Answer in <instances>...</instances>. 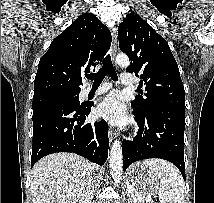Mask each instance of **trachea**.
<instances>
[{"instance_id": "trachea-1", "label": "trachea", "mask_w": 214, "mask_h": 203, "mask_svg": "<svg viewBox=\"0 0 214 203\" xmlns=\"http://www.w3.org/2000/svg\"><path fill=\"white\" fill-rule=\"evenodd\" d=\"M106 75L110 76L113 81H118V76L109 54L105 57L101 70L96 74L90 75L88 78L93 80V86H99Z\"/></svg>"}]
</instances>
